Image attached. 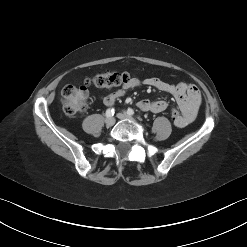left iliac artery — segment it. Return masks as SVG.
<instances>
[{
    "instance_id": "1",
    "label": "left iliac artery",
    "mask_w": 247,
    "mask_h": 247,
    "mask_svg": "<svg viewBox=\"0 0 247 247\" xmlns=\"http://www.w3.org/2000/svg\"><path fill=\"white\" fill-rule=\"evenodd\" d=\"M127 114H128V115H134V110L131 109V108H128Z\"/></svg>"
}]
</instances>
